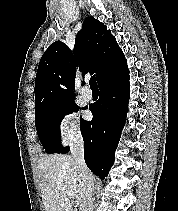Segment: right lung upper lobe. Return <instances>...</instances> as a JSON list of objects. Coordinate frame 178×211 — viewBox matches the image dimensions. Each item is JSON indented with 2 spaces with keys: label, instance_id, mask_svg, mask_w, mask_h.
Listing matches in <instances>:
<instances>
[{
  "label": "right lung upper lobe",
  "instance_id": "right-lung-upper-lobe-1",
  "mask_svg": "<svg viewBox=\"0 0 178 211\" xmlns=\"http://www.w3.org/2000/svg\"><path fill=\"white\" fill-rule=\"evenodd\" d=\"M74 56L61 41L45 51L35 79V114L50 105L74 101L75 61L83 74L96 73L98 85L128 68L115 37L92 16L76 35Z\"/></svg>",
  "mask_w": 178,
  "mask_h": 211
}]
</instances>
